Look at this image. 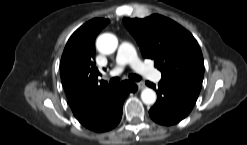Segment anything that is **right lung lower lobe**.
I'll use <instances>...</instances> for the list:
<instances>
[{"instance_id":"right-lung-lower-lobe-1","label":"right lung lower lobe","mask_w":247,"mask_h":145,"mask_svg":"<svg viewBox=\"0 0 247 145\" xmlns=\"http://www.w3.org/2000/svg\"><path fill=\"white\" fill-rule=\"evenodd\" d=\"M137 89L136 84L125 80L114 86L107 94L97 99L75 117L83 126L92 131L105 132L111 130L121 120L125 98L130 92H135Z\"/></svg>"}]
</instances>
